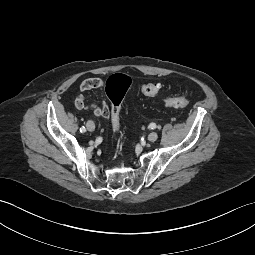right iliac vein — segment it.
<instances>
[{"label": "right iliac vein", "mask_w": 255, "mask_h": 255, "mask_svg": "<svg viewBox=\"0 0 255 255\" xmlns=\"http://www.w3.org/2000/svg\"><path fill=\"white\" fill-rule=\"evenodd\" d=\"M86 126H87V129H88V131H94L95 130V124H94V122H92V121H88L87 122V124H86Z\"/></svg>", "instance_id": "obj_1"}]
</instances>
